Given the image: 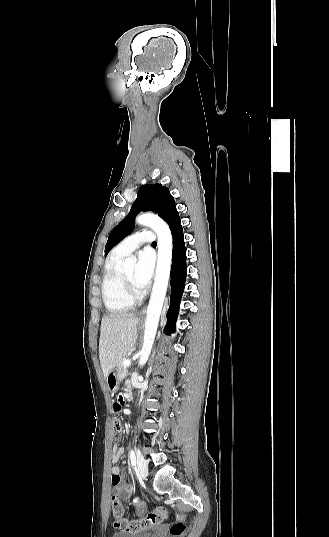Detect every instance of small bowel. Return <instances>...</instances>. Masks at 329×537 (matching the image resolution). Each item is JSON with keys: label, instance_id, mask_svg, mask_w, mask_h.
Here are the masks:
<instances>
[{"label": "small bowel", "instance_id": "1", "mask_svg": "<svg viewBox=\"0 0 329 537\" xmlns=\"http://www.w3.org/2000/svg\"><path fill=\"white\" fill-rule=\"evenodd\" d=\"M121 394H124V391H121ZM125 399L122 396L115 397L113 404L114 408L112 409V412L114 414H118L121 411L124 410ZM124 448L119 447L117 445H114L113 447V453H112V461L113 463L119 462V460L122 458L124 454ZM112 476H111V482L113 485V493L117 495L118 497L122 499H128L132 493V488L125 482V475L126 471L124 468L113 466L111 469Z\"/></svg>", "mask_w": 329, "mask_h": 537}]
</instances>
